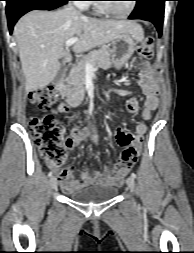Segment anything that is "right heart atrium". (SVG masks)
Wrapping results in <instances>:
<instances>
[{"mask_svg":"<svg viewBox=\"0 0 194 253\" xmlns=\"http://www.w3.org/2000/svg\"><path fill=\"white\" fill-rule=\"evenodd\" d=\"M86 0H78L76 2V5L79 6V7H84L86 5Z\"/></svg>","mask_w":194,"mask_h":253,"instance_id":"obj_1","label":"right heart atrium"}]
</instances>
